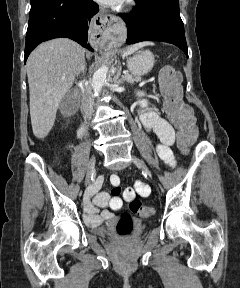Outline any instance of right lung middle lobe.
Here are the masks:
<instances>
[{
	"label": "right lung middle lobe",
	"instance_id": "obj_1",
	"mask_svg": "<svg viewBox=\"0 0 240 288\" xmlns=\"http://www.w3.org/2000/svg\"><path fill=\"white\" fill-rule=\"evenodd\" d=\"M37 1H39V0H31V4H34Z\"/></svg>",
	"mask_w": 240,
	"mask_h": 288
}]
</instances>
